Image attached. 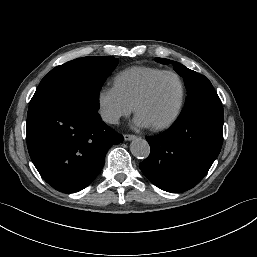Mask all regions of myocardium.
Masks as SVG:
<instances>
[{
    "label": "myocardium",
    "instance_id": "myocardium-1",
    "mask_svg": "<svg viewBox=\"0 0 257 257\" xmlns=\"http://www.w3.org/2000/svg\"><path fill=\"white\" fill-rule=\"evenodd\" d=\"M166 75L174 76L177 79L179 86H180V96H179V101H178L177 107H176L175 111L173 112V114L166 121L159 123V124L151 125V128L153 130H157V131L166 129V128L170 127L171 125H173L177 121V119L179 118V116L183 110V107L185 104V99H186V86H185L183 78L177 72L172 71V70H164V71L160 72L159 74L154 76L147 83V85L144 87L142 92L139 94V96L136 99L135 104H134V109H135L136 113H138L140 105L149 97V95L151 94L157 81Z\"/></svg>",
    "mask_w": 257,
    "mask_h": 257
}]
</instances>
